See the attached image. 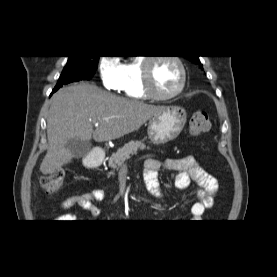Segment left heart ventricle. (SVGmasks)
Returning a JSON list of instances; mask_svg holds the SVG:
<instances>
[{
    "label": "left heart ventricle",
    "instance_id": "obj_1",
    "mask_svg": "<svg viewBox=\"0 0 277 277\" xmlns=\"http://www.w3.org/2000/svg\"><path fill=\"white\" fill-rule=\"evenodd\" d=\"M154 89L161 95H167L177 89L180 83V71L171 60L159 59L152 66Z\"/></svg>",
    "mask_w": 277,
    "mask_h": 277
}]
</instances>
